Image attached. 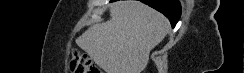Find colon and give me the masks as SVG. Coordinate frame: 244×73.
Instances as JSON below:
<instances>
[{
  "label": "colon",
  "mask_w": 244,
  "mask_h": 73,
  "mask_svg": "<svg viewBox=\"0 0 244 73\" xmlns=\"http://www.w3.org/2000/svg\"><path fill=\"white\" fill-rule=\"evenodd\" d=\"M71 73H101L100 68L86 55L75 52L69 62Z\"/></svg>",
  "instance_id": "colon-1"
}]
</instances>
